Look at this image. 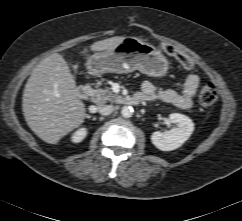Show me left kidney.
Segmentation results:
<instances>
[{
    "label": "left kidney",
    "mask_w": 242,
    "mask_h": 221,
    "mask_svg": "<svg viewBox=\"0 0 242 221\" xmlns=\"http://www.w3.org/2000/svg\"><path fill=\"white\" fill-rule=\"evenodd\" d=\"M172 122L177 123V127L169 131H156L151 135L152 143L162 151H172L189 139L194 131V123L186 115L172 113L169 115Z\"/></svg>",
    "instance_id": "left-kidney-1"
}]
</instances>
